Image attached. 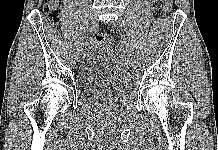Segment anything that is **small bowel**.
Returning <instances> with one entry per match:
<instances>
[{
    "label": "small bowel",
    "mask_w": 218,
    "mask_h": 150,
    "mask_svg": "<svg viewBox=\"0 0 218 150\" xmlns=\"http://www.w3.org/2000/svg\"><path fill=\"white\" fill-rule=\"evenodd\" d=\"M167 9H169L172 6V0H163Z\"/></svg>",
    "instance_id": "obj_1"
}]
</instances>
